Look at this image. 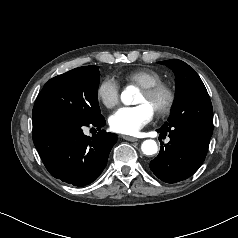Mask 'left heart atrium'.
Wrapping results in <instances>:
<instances>
[{
  "label": "left heart atrium",
  "mask_w": 238,
  "mask_h": 238,
  "mask_svg": "<svg viewBox=\"0 0 238 238\" xmlns=\"http://www.w3.org/2000/svg\"><path fill=\"white\" fill-rule=\"evenodd\" d=\"M154 117V109L148 103L125 106L116 110L109 119L111 128L122 134L133 135Z\"/></svg>",
  "instance_id": "1"
}]
</instances>
